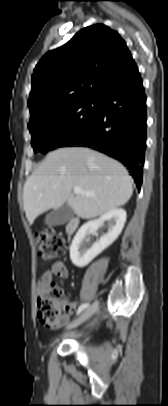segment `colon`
<instances>
[{
    "instance_id": "5ec220e1",
    "label": "colon",
    "mask_w": 168,
    "mask_h": 406,
    "mask_svg": "<svg viewBox=\"0 0 168 406\" xmlns=\"http://www.w3.org/2000/svg\"><path fill=\"white\" fill-rule=\"evenodd\" d=\"M34 239L38 257L42 261H50L61 257L68 249V245L62 237L49 231L36 232ZM62 295V289L52 285L45 293L39 296L37 301L38 315L41 322L46 326L58 323L60 319L58 299Z\"/></svg>"
}]
</instances>
